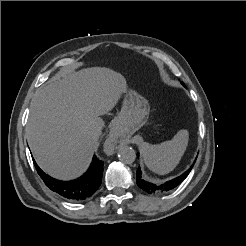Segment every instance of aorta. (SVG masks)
<instances>
[{"instance_id":"aorta-1","label":"aorta","mask_w":246,"mask_h":246,"mask_svg":"<svg viewBox=\"0 0 246 246\" xmlns=\"http://www.w3.org/2000/svg\"><path fill=\"white\" fill-rule=\"evenodd\" d=\"M118 158L123 163L131 164L136 159L135 150L129 146H122L118 151Z\"/></svg>"}]
</instances>
